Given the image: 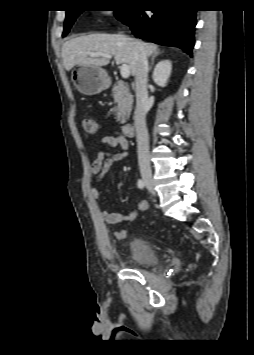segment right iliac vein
I'll list each match as a JSON object with an SVG mask.
<instances>
[{
  "label": "right iliac vein",
  "mask_w": 254,
  "mask_h": 355,
  "mask_svg": "<svg viewBox=\"0 0 254 355\" xmlns=\"http://www.w3.org/2000/svg\"><path fill=\"white\" fill-rule=\"evenodd\" d=\"M141 176H142L147 188L151 192H154V179L152 176V171L150 169H142Z\"/></svg>",
  "instance_id": "obj_1"
}]
</instances>
